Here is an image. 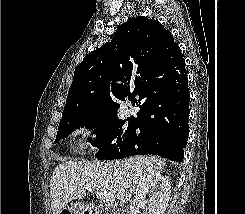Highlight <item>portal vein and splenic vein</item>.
Here are the masks:
<instances>
[{
    "label": "portal vein and splenic vein",
    "mask_w": 245,
    "mask_h": 214,
    "mask_svg": "<svg viewBox=\"0 0 245 214\" xmlns=\"http://www.w3.org/2000/svg\"><path fill=\"white\" fill-rule=\"evenodd\" d=\"M80 186H82L84 189H87L88 191H90L91 193H93V189L91 187H89L88 185L81 184ZM96 196L99 199L105 200L108 203H113L115 201V199H116L114 195H111V194H103V193H99V192H96Z\"/></svg>",
    "instance_id": "obj_1"
}]
</instances>
